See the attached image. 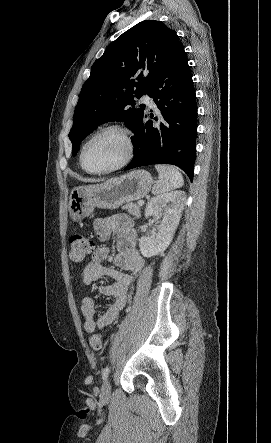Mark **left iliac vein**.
Masks as SVG:
<instances>
[{"instance_id": "4c4485c4", "label": "left iliac vein", "mask_w": 271, "mask_h": 443, "mask_svg": "<svg viewBox=\"0 0 271 443\" xmlns=\"http://www.w3.org/2000/svg\"><path fill=\"white\" fill-rule=\"evenodd\" d=\"M111 396V384L108 379H106L101 387V398L103 400H108Z\"/></svg>"}]
</instances>
